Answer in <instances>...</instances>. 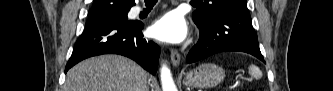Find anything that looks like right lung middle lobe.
I'll return each instance as SVG.
<instances>
[{"mask_svg":"<svg viewBox=\"0 0 333 91\" xmlns=\"http://www.w3.org/2000/svg\"><path fill=\"white\" fill-rule=\"evenodd\" d=\"M127 13H128V11L122 12V13H119V14H115V15H112V16H109V17L101 18V19H98V20L127 21Z\"/></svg>","mask_w":333,"mask_h":91,"instance_id":"obj_1","label":"right lung middle lobe"}]
</instances>
